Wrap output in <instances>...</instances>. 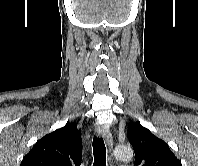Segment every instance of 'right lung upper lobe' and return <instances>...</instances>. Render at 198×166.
<instances>
[{
  "mask_svg": "<svg viewBox=\"0 0 198 166\" xmlns=\"http://www.w3.org/2000/svg\"><path fill=\"white\" fill-rule=\"evenodd\" d=\"M81 160L80 129L67 123L37 141L20 166H80Z\"/></svg>",
  "mask_w": 198,
  "mask_h": 166,
  "instance_id": "obj_1",
  "label": "right lung upper lobe"
}]
</instances>
